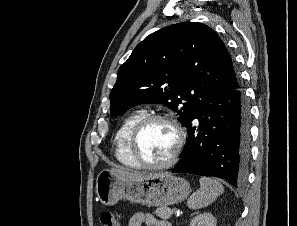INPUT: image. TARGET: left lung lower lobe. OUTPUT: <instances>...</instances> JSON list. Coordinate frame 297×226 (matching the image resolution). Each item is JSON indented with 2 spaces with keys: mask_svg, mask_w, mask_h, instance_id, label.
<instances>
[{
  "mask_svg": "<svg viewBox=\"0 0 297 226\" xmlns=\"http://www.w3.org/2000/svg\"><path fill=\"white\" fill-rule=\"evenodd\" d=\"M198 119L199 126L192 124ZM250 113L241 86L207 90L185 125L188 138L172 172L214 176L242 185L249 163Z\"/></svg>",
  "mask_w": 297,
  "mask_h": 226,
  "instance_id": "left-lung-lower-lobe-1",
  "label": "left lung lower lobe"
}]
</instances>
